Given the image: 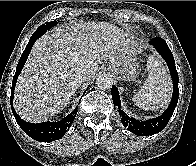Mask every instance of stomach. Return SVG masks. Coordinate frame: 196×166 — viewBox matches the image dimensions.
I'll list each match as a JSON object with an SVG mask.
<instances>
[{"instance_id": "obj_1", "label": "stomach", "mask_w": 196, "mask_h": 166, "mask_svg": "<svg viewBox=\"0 0 196 166\" xmlns=\"http://www.w3.org/2000/svg\"><path fill=\"white\" fill-rule=\"evenodd\" d=\"M110 65L117 74L127 80H133L137 77L140 70L135 55L130 54L117 56Z\"/></svg>"}]
</instances>
